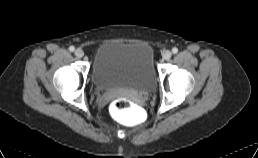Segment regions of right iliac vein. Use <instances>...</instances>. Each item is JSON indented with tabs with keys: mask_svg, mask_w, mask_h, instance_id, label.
I'll return each instance as SVG.
<instances>
[{
	"mask_svg": "<svg viewBox=\"0 0 258 158\" xmlns=\"http://www.w3.org/2000/svg\"><path fill=\"white\" fill-rule=\"evenodd\" d=\"M75 56L77 57V58H82L83 56H84V52H83V50L82 49H76V51H75Z\"/></svg>",
	"mask_w": 258,
	"mask_h": 158,
	"instance_id": "right-iliac-vein-1",
	"label": "right iliac vein"
}]
</instances>
